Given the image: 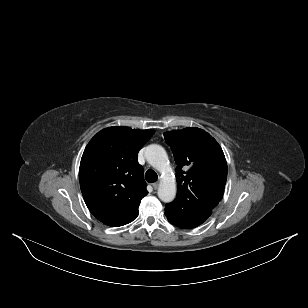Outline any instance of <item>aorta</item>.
<instances>
[{
    "mask_svg": "<svg viewBox=\"0 0 308 308\" xmlns=\"http://www.w3.org/2000/svg\"><path fill=\"white\" fill-rule=\"evenodd\" d=\"M147 162L162 173L161 183L158 188V197L161 201L169 203L176 196V183L170 174L168 155L163 147L152 144L146 148Z\"/></svg>",
    "mask_w": 308,
    "mask_h": 308,
    "instance_id": "1",
    "label": "aorta"
}]
</instances>
